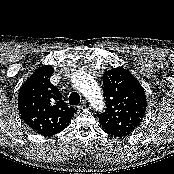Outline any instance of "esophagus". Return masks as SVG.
Wrapping results in <instances>:
<instances>
[{
  "label": "esophagus",
  "mask_w": 174,
  "mask_h": 174,
  "mask_svg": "<svg viewBox=\"0 0 174 174\" xmlns=\"http://www.w3.org/2000/svg\"><path fill=\"white\" fill-rule=\"evenodd\" d=\"M86 105H87V102L83 100V101L80 103V105L78 106V108H79V109H83L84 107H86Z\"/></svg>",
  "instance_id": "esophagus-1"
}]
</instances>
